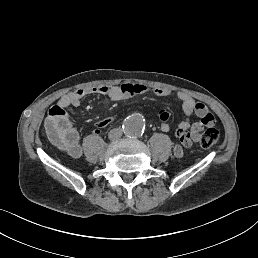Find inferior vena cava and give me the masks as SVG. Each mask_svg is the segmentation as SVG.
<instances>
[{
  "label": "inferior vena cava",
  "instance_id": "1",
  "mask_svg": "<svg viewBox=\"0 0 258 258\" xmlns=\"http://www.w3.org/2000/svg\"><path fill=\"white\" fill-rule=\"evenodd\" d=\"M123 131L121 128H114L111 130V132L109 133L108 137L110 140H119L121 135H122Z\"/></svg>",
  "mask_w": 258,
  "mask_h": 258
}]
</instances>
